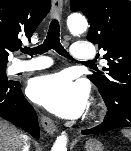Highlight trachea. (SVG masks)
Listing matches in <instances>:
<instances>
[{"instance_id":"3493384b","label":"trachea","mask_w":131,"mask_h":151,"mask_svg":"<svg viewBox=\"0 0 131 151\" xmlns=\"http://www.w3.org/2000/svg\"><path fill=\"white\" fill-rule=\"evenodd\" d=\"M59 37H60L59 22L56 19H54L50 23L48 34H47V37L44 40V42L35 48L22 49V53L32 56V55H37V54H43L50 49H54L59 55L72 59V57L69 55V53L61 45ZM85 64L94 65V63L90 62V61L85 62Z\"/></svg>"}]
</instances>
